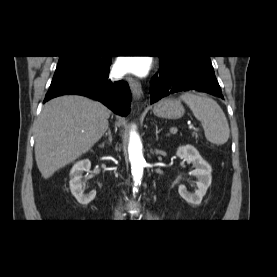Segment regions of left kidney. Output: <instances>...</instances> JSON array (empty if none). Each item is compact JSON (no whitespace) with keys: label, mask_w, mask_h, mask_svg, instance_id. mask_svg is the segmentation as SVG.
Masks as SVG:
<instances>
[{"label":"left kidney","mask_w":277,"mask_h":277,"mask_svg":"<svg viewBox=\"0 0 277 277\" xmlns=\"http://www.w3.org/2000/svg\"><path fill=\"white\" fill-rule=\"evenodd\" d=\"M176 155L180 158H184L187 163H192L195 169L191 171V174L197 178L198 189L194 192H188L184 185H180L178 192L182 198L187 202L198 205L201 203L203 196L206 194L208 187L212 182V168L203 160L197 149L192 145L180 146L177 149Z\"/></svg>","instance_id":"left-kidney-1"}]
</instances>
